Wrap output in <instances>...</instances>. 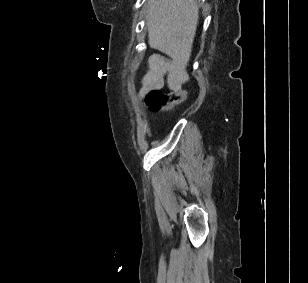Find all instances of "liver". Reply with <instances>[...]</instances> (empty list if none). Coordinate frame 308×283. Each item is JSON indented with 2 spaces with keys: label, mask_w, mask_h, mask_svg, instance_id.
Here are the masks:
<instances>
[{
  "label": "liver",
  "mask_w": 308,
  "mask_h": 283,
  "mask_svg": "<svg viewBox=\"0 0 308 283\" xmlns=\"http://www.w3.org/2000/svg\"><path fill=\"white\" fill-rule=\"evenodd\" d=\"M146 18L149 46L186 64L197 29L199 5L194 0H149Z\"/></svg>",
  "instance_id": "obj_1"
}]
</instances>
